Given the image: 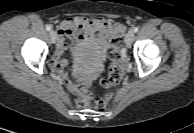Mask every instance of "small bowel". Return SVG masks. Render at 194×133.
Instances as JSON below:
<instances>
[{
	"label": "small bowel",
	"mask_w": 194,
	"mask_h": 133,
	"mask_svg": "<svg viewBox=\"0 0 194 133\" xmlns=\"http://www.w3.org/2000/svg\"><path fill=\"white\" fill-rule=\"evenodd\" d=\"M124 33V27L110 19L88 18L75 16L67 18L58 25V44L52 60V67L58 76L65 82L67 88L74 94L80 92L81 87L71 81L65 71L67 60L63 55L70 45L66 43L68 38L73 46L83 42L94 40L101 46L108 48L109 42L119 38Z\"/></svg>",
	"instance_id": "1"
}]
</instances>
